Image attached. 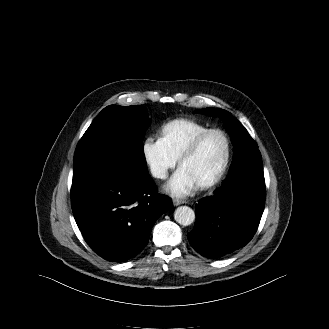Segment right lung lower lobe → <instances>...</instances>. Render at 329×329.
Instances as JSON below:
<instances>
[{"label": "right lung lower lobe", "mask_w": 329, "mask_h": 329, "mask_svg": "<svg viewBox=\"0 0 329 329\" xmlns=\"http://www.w3.org/2000/svg\"><path fill=\"white\" fill-rule=\"evenodd\" d=\"M147 174L131 181L106 172L72 182L71 204L86 242L108 261L135 257L146 246L158 217L172 201L158 195Z\"/></svg>", "instance_id": "1"}]
</instances>
